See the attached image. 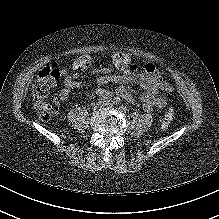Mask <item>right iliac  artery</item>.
<instances>
[{
	"label": "right iliac artery",
	"mask_w": 219,
	"mask_h": 219,
	"mask_svg": "<svg viewBox=\"0 0 219 219\" xmlns=\"http://www.w3.org/2000/svg\"><path fill=\"white\" fill-rule=\"evenodd\" d=\"M110 101H111V97L108 96V95L101 97V102H102V103H108V102H110Z\"/></svg>",
	"instance_id": "1"
}]
</instances>
